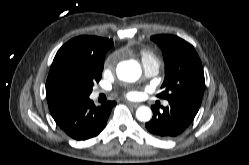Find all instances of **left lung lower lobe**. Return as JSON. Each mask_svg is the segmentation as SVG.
<instances>
[{
	"label": "left lung lower lobe",
	"mask_w": 249,
	"mask_h": 165,
	"mask_svg": "<svg viewBox=\"0 0 249 165\" xmlns=\"http://www.w3.org/2000/svg\"><path fill=\"white\" fill-rule=\"evenodd\" d=\"M200 106L182 100H171L167 107L152 106L153 117L145 124L152 135L169 139L180 135L193 121Z\"/></svg>",
	"instance_id": "left-lung-lower-lobe-1"
}]
</instances>
